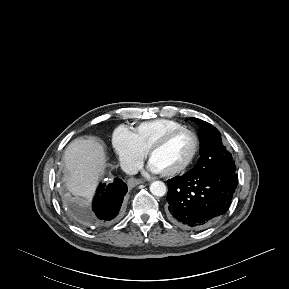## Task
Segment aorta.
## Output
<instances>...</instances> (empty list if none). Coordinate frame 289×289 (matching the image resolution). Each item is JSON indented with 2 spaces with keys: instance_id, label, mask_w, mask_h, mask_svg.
<instances>
[{
  "instance_id": "762f6f07",
  "label": "aorta",
  "mask_w": 289,
  "mask_h": 289,
  "mask_svg": "<svg viewBox=\"0 0 289 289\" xmlns=\"http://www.w3.org/2000/svg\"><path fill=\"white\" fill-rule=\"evenodd\" d=\"M166 185L162 181H154L150 185V192L157 197H162L166 194Z\"/></svg>"
}]
</instances>
